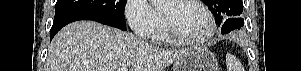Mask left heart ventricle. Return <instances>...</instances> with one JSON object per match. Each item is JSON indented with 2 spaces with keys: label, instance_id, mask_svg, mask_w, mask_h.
Wrapping results in <instances>:
<instances>
[{
  "label": "left heart ventricle",
  "instance_id": "1",
  "mask_svg": "<svg viewBox=\"0 0 301 71\" xmlns=\"http://www.w3.org/2000/svg\"><path fill=\"white\" fill-rule=\"evenodd\" d=\"M161 10L174 28L185 38L201 39L209 30V21L204 11L190 2L165 1Z\"/></svg>",
  "mask_w": 301,
  "mask_h": 71
}]
</instances>
